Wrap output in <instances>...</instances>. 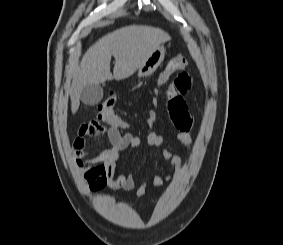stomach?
Here are the masks:
<instances>
[{
  "label": "stomach",
  "mask_w": 283,
  "mask_h": 245,
  "mask_svg": "<svg viewBox=\"0 0 283 245\" xmlns=\"http://www.w3.org/2000/svg\"><path fill=\"white\" fill-rule=\"evenodd\" d=\"M165 57V48L159 45L147 60L138 68V77L144 78L152 75L160 66Z\"/></svg>",
  "instance_id": "0dacf381"
}]
</instances>
